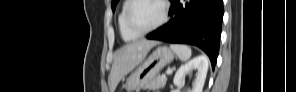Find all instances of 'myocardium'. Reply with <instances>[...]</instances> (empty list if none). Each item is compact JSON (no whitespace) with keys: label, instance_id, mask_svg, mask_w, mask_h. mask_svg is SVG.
<instances>
[{"label":"myocardium","instance_id":"1","mask_svg":"<svg viewBox=\"0 0 296 92\" xmlns=\"http://www.w3.org/2000/svg\"><path fill=\"white\" fill-rule=\"evenodd\" d=\"M142 0H132L130 1L129 5L127 6V9H126V13H125V23H126V26L127 28L135 35L137 36H144L156 29H158L159 27H161L167 20V17H168V7H167V4L165 1L163 0H154V1H157L160 5H161V9H162V14H161V18L159 19V21L154 24L152 27L146 29V30H139L137 29L132 21H131V11L132 9L134 8V6L140 2Z\"/></svg>","mask_w":296,"mask_h":92}]
</instances>
